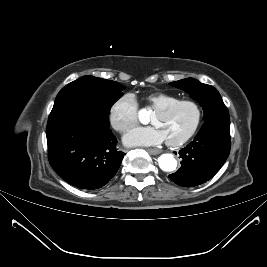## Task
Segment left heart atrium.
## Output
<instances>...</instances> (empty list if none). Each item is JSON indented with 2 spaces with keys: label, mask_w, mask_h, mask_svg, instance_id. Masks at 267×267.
Instances as JSON below:
<instances>
[{
  "label": "left heart atrium",
  "mask_w": 267,
  "mask_h": 267,
  "mask_svg": "<svg viewBox=\"0 0 267 267\" xmlns=\"http://www.w3.org/2000/svg\"><path fill=\"white\" fill-rule=\"evenodd\" d=\"M164 140V133L156 126L136 128L124 137V142L131 146L157 145Z\"/></svg>",
  "instance_id": "obj_1"
}]
</instances>
